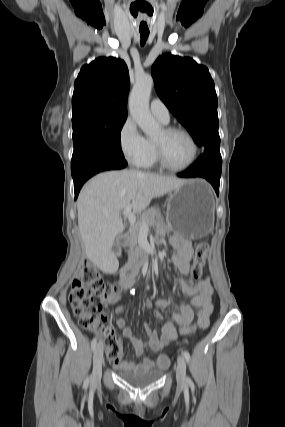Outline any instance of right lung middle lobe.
<instances>
[{
	"label": "right lung middle lobe",
	"instance_id": "1",
	"mask_svg": "<svg viewBox=\"0 0 285 427\" xmlns=\"http://www.w3.org/2000/svg\"><path fill=\"white\" fill-rule=\"evenodd\" d=\"M127 116L81 115L72 118L74 152L71 171L95 154L124 159L120 133Z\"/></svg>",
	"mask_w": 285,
	"mask_h": 427
}]
</instances>
